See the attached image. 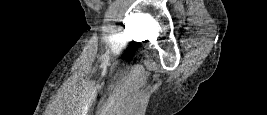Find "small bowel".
Here are the masks:
<instances>
[{
	"label": "small bowel",
	"mask_w": 267,
	"mask_h": 115,
	"mask_svg": "<svg viewBox=\"0 0 267 115\" xmlns=\"http://www.w3.org/2000/svg\"><path fill=\"white\" fill-rule=\"evenodd\" d=\"M87 2L94 8H98L100 6L98 1L88 0Z\"/></svg>",
	"instance_id": "small-bowel-1"
}]
</instances>
